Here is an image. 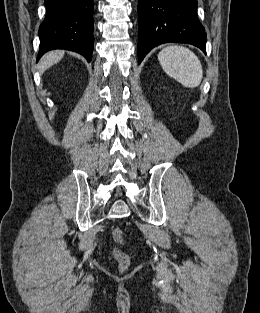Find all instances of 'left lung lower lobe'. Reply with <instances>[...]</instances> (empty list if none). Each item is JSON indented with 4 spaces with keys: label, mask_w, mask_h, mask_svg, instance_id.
<instances>
[{
    "label": "left lung lower lobe",
    "mask_w": 260,
    "mask_h": 313,
    "mask_svg": "<svg viewBox=\"0 0 260 313\" xmlns=\"http://www.w3.org/2000/svg\"><path fill=\"white\" fill-rule=\"evenodd\" d=\"M138 60L168 42L187 43L206 53V33L197 17V0H138Z\"/></svg>",
    "instance_id": "0a47b994"
}]
</instances>
